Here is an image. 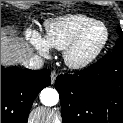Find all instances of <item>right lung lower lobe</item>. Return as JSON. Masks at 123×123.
Returning <instances> with one entry per match:
<instances>
[{
	"label": "right lung lower lobe",
	"instance_id": "1",
	"mask_svg": "<svg viewBox=\"0 0 123 123\" xmlns=\"http://www.w3.org/2000/svg\"><path fill=\"white\" fill-rule=\"evenodd\" d=\"M50 82L49 69L1 67V123H27L33 101Z\"/></svg>",
	"mask_w": 123,
	"mask_h": 123
}]
</instances>
